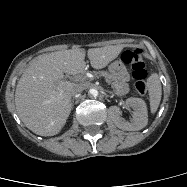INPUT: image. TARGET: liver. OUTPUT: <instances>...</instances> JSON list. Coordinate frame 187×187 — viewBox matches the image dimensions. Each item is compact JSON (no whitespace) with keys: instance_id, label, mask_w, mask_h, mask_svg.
Segmentation results:
<instances>
[{"instance_id":"1","label":"liver","mask_w":187,"mask_h":187,"mask_svg":"<svg viewBox=\"0 0 187 187\" xmlns=\"http://www.w3.org/2000/svg\"><path fill=\"white\" fill-rule=\"evenodd\" d=\"M124 45L90 48L88 59L94 69H102L118 57ZM86 51L75 48L43 54L23 71L15 92L17 113L24 125L37 135L54 136L71 112L74 83L64 73L76 75L86 67Z\"/></svg>"}]
</instances>
